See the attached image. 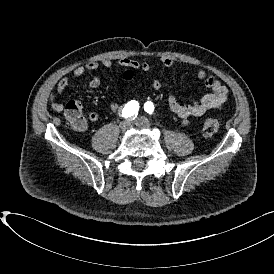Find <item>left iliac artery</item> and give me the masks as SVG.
<instances>
[{
	"label": "left iliac artery",
	"mask_w": 274,
	"mask_h": 274,
	"mask_svg": "<svg viewBox=\"0 0 274 274\" xmlns=\"http://www.w3.org/2000/svg\"><path fill=\"white\" fill-rule=\"evenodd\" d=\"M144 110L149 113L152 114L154 112V104L150 101L146 102L144 104Z\"/></svg>",
	"instance_id": "1"
}]
</instances>
